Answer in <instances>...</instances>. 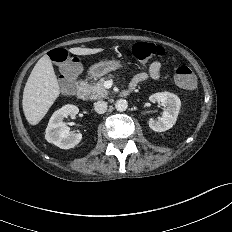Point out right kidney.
Returning a JSON list of instances; mask_svg holds the SVG:
<instances>
[{
    "label": "right kidney",
    "instance_id": "ca27d5eb",
    "mask_svg": "<svg viewBox=\"0 0 232 232\" xmlns=\"http://www.w3.org/2000/svg\"><path fill=\"white\" fill-rule=\"evenodd\" d=\"M78 112V107L71 104L64 105L55 111L46 128L45 139L61 149L75 147L81 141L82 134L70 132V128L63 122V119L69 115H76Z\"/></svg>",
    "mask_w": 232,
    "mask_h": 232
}]
</instances>
